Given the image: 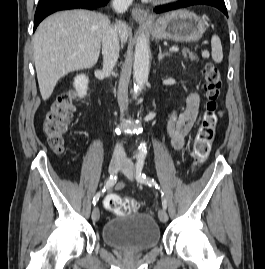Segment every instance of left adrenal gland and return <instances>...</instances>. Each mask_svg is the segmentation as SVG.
Instances as JSON below:
<instances>
[{"label": "left adrenal gland", "mask_w": 265, "mask_h": 269, "mask_svg": "<svg viewBox=\"0 0 265 269\" xmlns=\"http://www.w3.org/2000/svg\"><path fill=\"white\" fill-rule=\"evenodd\" d=\"M170 54L168 52L162 53L161 47H159V55H158V60L159 62L166 56H169Z\"/></svg>", "instance_id": "obj_1"}]
</instances>
